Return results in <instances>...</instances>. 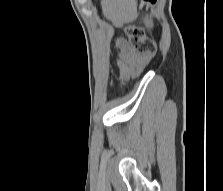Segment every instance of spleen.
<instances>
[{"mask_svg": "<svg viewBox=\"0 0 223 191\" xmlns=\"http://www.w3.org/2000/svg\"><path fill=\"white\" fill-rule=\"evenodd\" d=\"M103 14L115 23L129 22L136 14L135 0H102Z\"/></svg>", "mask_w": 223, "mask_h": 191, "instance_id": "spleen-1", "label": "spleen"}]
</instances>
